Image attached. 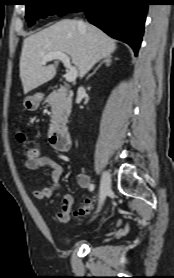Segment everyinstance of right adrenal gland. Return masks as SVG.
<instances>
[{"label":"right adrenal gland","instance_id":"right-adrenal-gland-1","mask_svg":"<svg viewBox=\"0 0 174 278\" xmlns=\"http://www.w3.org/2000/svg\"><path fill=\"white\" fill-rule=\"evenodd\" d=\"M112 63V58L111 57H105L104 60L94 69V71L88 75L87 79H89L92 75L96 73V71L103 65L105 64L107 67L110 66Z\"/></svg>","mask_w":174,"mask_h":278}]
</instances>
